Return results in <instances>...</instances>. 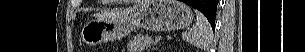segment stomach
Instances as JSON below:
<instances>
[{
	"instance_id": "1",
	"label": "stomach",
	"mask_w": 305,
	"mask_h": 52,
	"mask_svg": "<svg viewBox=\"0 0 305 52\" xmlns=\"http://www.w3.org/2000/svg\"><path fill=\"white\" fill-rule=\"evenodd\" d=\"M193 14L177 0H150L136 11L118 18L94 20L81 31L82 42L90 47L126 37L137 28L151 31H175L188 27Z\"/></svg>"
}]
</instances>
